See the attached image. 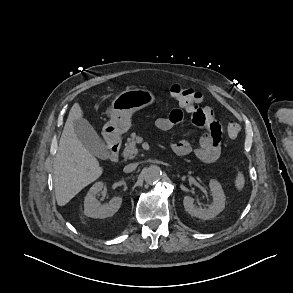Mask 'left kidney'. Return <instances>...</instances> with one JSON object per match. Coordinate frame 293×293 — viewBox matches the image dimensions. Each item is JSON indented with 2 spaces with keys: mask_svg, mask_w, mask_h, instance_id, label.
<instances>
[{
  "mask_svg": "<svg viewBox=\"0 0 293 293\" xmlns=\"http://www.w3.org/2000/svg\"><path fill=\"white\" fill-rule=\"evenodd\" d=\"M209 187L213 195V203L209 205L207 209L195 206L194 199L192 197H184L183 205L185 211L188 212L191 216L207 220L214 218L224 210L226 198L221 184L217 180L211 179L209 182Z\"/></svg>",
  "mask_w": 293,
  "mask_h": 293,
  "instance_id": "left-kidney-1",
  "label": "left kidney"
}]
</instances>
